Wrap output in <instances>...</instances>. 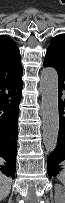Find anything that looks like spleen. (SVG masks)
<instances>
[{
    "instance_id": "obj_1",
    "label": "spleen",
    "mask_w": 65,
    "mask_h": 203,
    "mask_svg": "<svg viewBox=\"0 0 65 203\" xmlns=\"http://www.w3.org/2000/svg\"><path fill=\"white\" fill-rule=\"evenodd\" d=\"M57 179L64 184L65 183V172H60V174L57 176Z\"/></svg>"
}]
</instances>
